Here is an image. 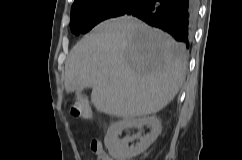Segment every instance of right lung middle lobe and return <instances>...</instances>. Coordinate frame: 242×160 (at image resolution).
<instances>
[{
	"label": "right lung middle lobe",
	"mask_w": 242,
	"mask_h": 160,
	"mask_svg": "<svg viewBox=\"0 0 242 160\" xmlns=\"http://www.w3.org/2000/svg\"><path fill=\"white\" fill-rule=\"evenodd\" d=\"M143 0H82L71 8V31L78 35L99 22L122 16Z\"/></svg>",
	"instance_id": "dd1d6c3e"
}]
</instances>
